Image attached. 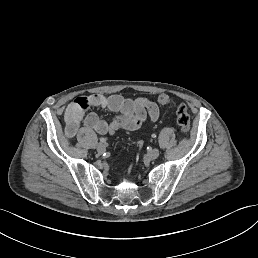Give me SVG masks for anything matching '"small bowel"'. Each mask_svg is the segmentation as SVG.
I'll return each mask as SVG.
<instances>
[{
    "label": "small bowel",
    "mask_w": 258,
    "mask_h": 258,
    "mask_svg": "<svg viewBox=\"0 0 258 258\" xmlns=\"http://www.w3.org/2000/svg\"><path fill=\"white\" fill-rule=\"evenodd\" d=\"M99 109L117 115L107 121L99 117L96 112ZM159 115L158 105L149 97L132 100L116 94L100 93L79 96L65 109V133L69 138L75 137L81 124L100 135L114 134L118 130L135 131L148 119L151 122L157 121Z\"/></svg>",
    "instance_id": "c3829d8e"
}]
</instances>
